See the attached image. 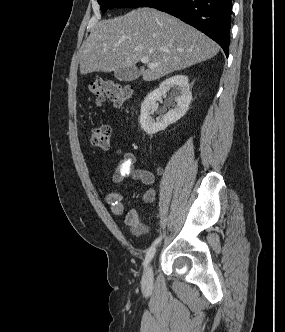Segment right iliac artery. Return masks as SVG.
<instances>
[{
  "label": "right iliac artery",
  "instance_id": "obj_1",
  "mask_svg": "<svg viewBox=\"0 0 285 332\" xmlns=\"http://www.w3.org/2000/svg\"><path fill=\"white\" fill-rule=\"evenodd\" d=\"M162 240V236L158 237L150 246V248L147 251L143 266L147 267V265L149 264V262L151 261V259L153 258L155 251H156V246L160 243V241Z\"/></svg>",
  "mask_w": 285,
  "mask_h": 332
}]
</instances>
